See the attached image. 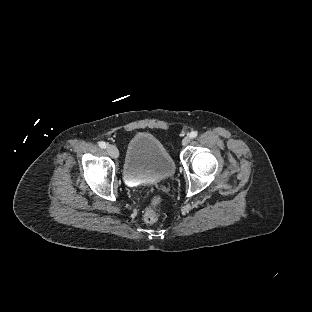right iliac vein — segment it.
Listing matches in <instances>:
<instances>
[{
	"label": "right iliac vein",
	"instance_id": "1",
	"mask_svg": "<svg viewBox=\"0 0 312 312\" xmlns=\"http://www.w3.org/2000/svg\"><path fill=\"white\" fill-rule=\"evenodd\" d=\"M106 151H107L108 154H109L110 156H112L113 158H117V157H118L119 152H118V149H117L116 146L111 145V144H108V145L106 146Z\"/></svg>",
	"mask_w": 312,
	"mask_h": 312
}]
</instances>
